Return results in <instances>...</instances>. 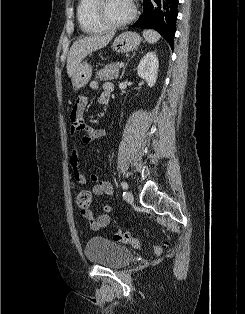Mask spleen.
<instances>
[{
	"label": "spleen",
	"mask_w": 245,
	"mask_h": 314,
	"mask_svg": "<svg viewBox=\"0 0 245 314\" xmlns=\"http://www.w3.org/2000/svg\"><path fill=\"white\" fill-rule=\"evenodd\" d=\"M143 37L146 39L149 43H155L160 39V34L154 30L151 29H144L143 31Z\"/></svg>",
	"instance_id": "1"
}]
</instances>
